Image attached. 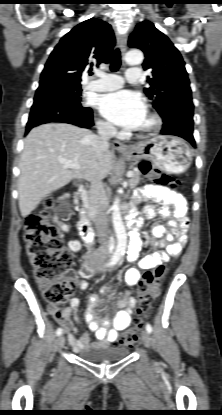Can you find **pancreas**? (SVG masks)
<instances>
[{"mask_svg":"<svg viewBox=\"0 0 222 415\" xmlns=\"http://www.w3.org/2000/svg\"><path fill=\"white\" fill-rule=\"evenodd\" d=\"M140 175H141V172L138 169L133 171V175L131 179L129 180V186L131 189H134L139 184Z\"/></svg>","mask_w":222,"mask_h":415,"instance_id":"obj_1","label":"pancreas"}]
</instances>
